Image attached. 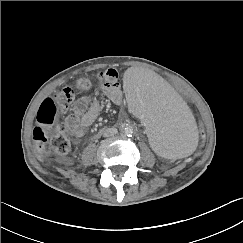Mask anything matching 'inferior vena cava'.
Listing matches in <instances>:
<instances>
[{
    "label": "inferior vena cava",
    "mask_w": 243,
    "mask_h": 243,
    "mask_svg": "<svg viewBox=\"0 0 243 243\" xmlns=\"http://www.w3.org/2000/svg\"><path fill=\"white\" fill-rule=\"evenodd\" d=\"M117 132H118L117 129L114 128V127L107 128V129L104 130L103 136L104 137L113 136V135L117 134Z\"/></svg>",
    "instance_id": "1"
}]
</instances>
